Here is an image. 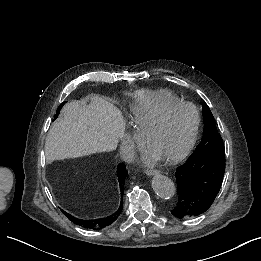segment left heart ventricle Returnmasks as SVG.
<instances>
[{
  "instance_id": "1",
  "label": "left heart ventricle",
  "mask_w": 261,
  "mask_h": 261,
  "mask_svg": "<svg viewBox=\"0 0 261 261\" xmlns=\"http://www.w3.org/2000/svg\"><path fill=\"white\" fill-rule=\"evenodd\" d=\"M193 125L188 109L175 108L159 120L142 128L141 139L156 157L164 158L177 152L186 142Z\"/></svg>"
}]
</instances>
